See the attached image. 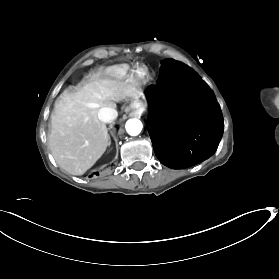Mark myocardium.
Masks as SVG:
<instances>
[{"mask_svg": "<svg viewBox=\"0 0 279 279\" xmlns=\"http://www.w3.org/2000/svg\"><path fill=\"white\" fill-rule=\"evenodd\" d=\"M149 75V70L145 65H137L134 69V76L137 80L143 81Z\"/></svg>", "mask_w": 279, "mask_h": 279, "instance_id": "obj_1", "label": "myocardium"}]
</instances>
